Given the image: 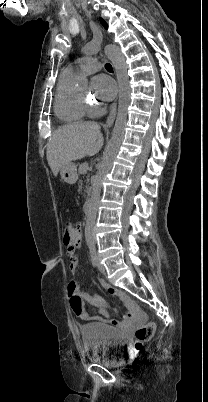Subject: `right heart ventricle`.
<instances>
[{"instance_id":"right-heart-ventricle-1","label":"right heart ventricle","mask_w":208,"mask_h":402,"mask_svg":"<svg viewBox=\"0 0 208 402\" xmlns=\"http://www.w3.org/2000/svg\"><path fill=\"white\" fill-rule=\"evenodd\" d=\"M75 76L64 72L59 79L54 112L58 119L67 126H83L88 122V111L82 103L79 93L73 90Z\"/></svg>"}]
</instances>
